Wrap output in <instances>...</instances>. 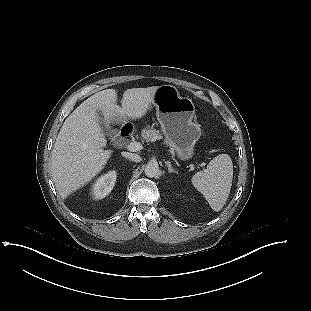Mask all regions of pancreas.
Instances as JSON below:
<instances>
[{
  "label": "pancreas",
  "instance_id": "pancreas-1",
  "mask_svg": "<svg viewBox=\"0 0 311 311\" xmlns=\"http://www.w3.org/2000/svg\"><path fill=\"white\" fill-rule=\"evenodd\" d=\"M142 137L145 139V140H151V139H161L162 136L160 134V132L154 128H147V129H144L141 133Z\"/></svg>",
  "mask_w": 311,
  "mask_h": 311
}]
</instances>
